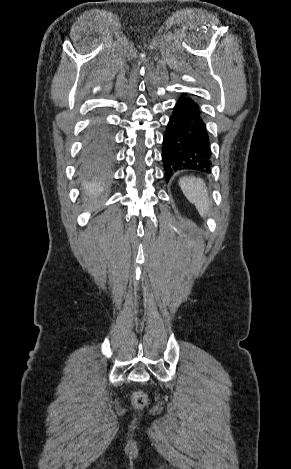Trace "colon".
<instances>
[{"label":"colon","mask_w":291,"mask_h":469,"mask_svg":"<svg viewBox=\"0 0 291 469\" xmlns=\"http://www.w3.org/2000/svg\"><path fill=\"white\" fill-rule=\"evenodd\" d=\"M134 403L137 406H141L145 403V396L142 393H136L134 395Z\"/></svg>","instance_id":"obj_1"}]
</instances>
